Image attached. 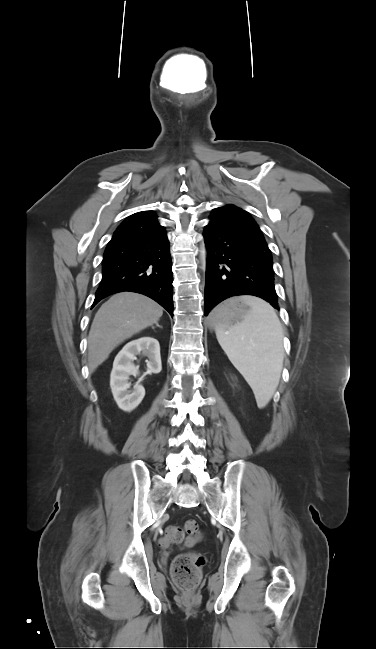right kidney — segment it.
Masks as SVG:
<instances>
[{"label":"right kidney","instance_id":"1","mask_svg":"<svg viewBox=\"0 0 376 649\" xmlns=\"http://www.w3.org/2000/svg\"><path fill=\"white\" fill-rule=\"evenodd\" d=\"M142 352L148 357L147 373H159L162 369L159 342L150 336H143L126 344L116 356L110 376V387L113 397L120 409L126 412L134 410L145 396L144 387L136 383L133 390H128L130 375L138 374V367L133 364L136 356Z\"/></svg>","mask_w":376,"mask_h":649}]
</instances>
